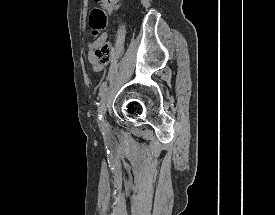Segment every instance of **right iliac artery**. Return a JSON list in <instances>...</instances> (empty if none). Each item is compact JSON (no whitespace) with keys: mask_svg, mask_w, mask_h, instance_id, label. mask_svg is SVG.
I'll return each mask as SVG.
<instances>
[{"mask_svg":"<svg viewBox=\"0 0 275 215\" xmlns=\"http://www.w3.org/2000/svg\"><path fill=\"white\" fill-rule=\"evenodd\" d=\"M106 91H107V82H103L102 85L100 86L99 97H100V98H103V96L105 95ZM98 116H99V117H98V118H99V126H100L102 129H104V128H105V125H104L103 120H102V115L99 114Z\"/></svg>","mask_w":275,"mask_h":215,"instance_id":"right-iliac-artery-1","label":"right iliac artery"}]
</instances>
